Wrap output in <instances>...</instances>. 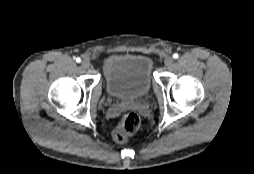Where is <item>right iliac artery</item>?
<instances>
[{"label":"right iliac artery","instance_id":"82829eb1","mask_svg":"<svg viewBox=\"0 0 254 174\" xmlns=\"http://www.w3.org/2000/svg\"><path fill=\"white\" fill-rule=\"evenodd\" d=\"M80 61H81V59H80L79 57H77V58H76V62L79 63Z\"/></svg>","mask_w":254,"mask_h":174}]
</instances>
